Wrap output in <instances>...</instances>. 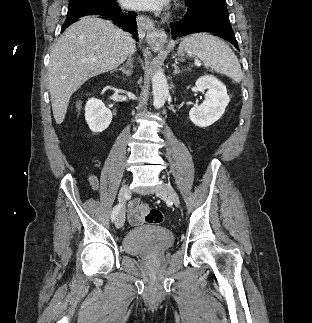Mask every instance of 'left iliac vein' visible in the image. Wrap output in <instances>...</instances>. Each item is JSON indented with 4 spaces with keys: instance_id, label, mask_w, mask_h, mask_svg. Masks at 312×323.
<instances>
[{
    "instance_id": "obj_1",
    "label": "left iliac vein",
    "mask_w": 312,
    "mask_h": 323,
    "mask_svg": "<svg viewBox=\"0 0 312 323\" xmlns=\"http://www.w3.org/2000/svg\"><path fill=\"white\" fill-rule=\"evenodd\" d=\"M155 192L157 195H166L168 199L175 204L176 207H179V197L170 184L164 183L163 185L158 186Z\"/></svg>"
}]
</instances>
